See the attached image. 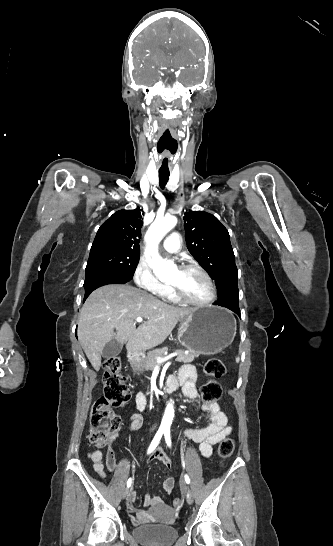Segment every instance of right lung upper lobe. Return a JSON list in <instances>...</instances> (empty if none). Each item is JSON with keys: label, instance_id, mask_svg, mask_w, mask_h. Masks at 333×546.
<instances>
[{"label": "right lung upper lobe", "instance_id": "1", "mask_svg": "<svg viewBox=\"0 0 333 546\" xmlns=\"http://www.w3.org/2000/svg\"><path fill=\"white\" fill-rule=\"evenodd\" d=\"M142 225L139 208L119 210L100 226L90 251L110 248L140 253Z\"/></svg>", "mask_w": 333, "mask_h": 546}]
</instances>
